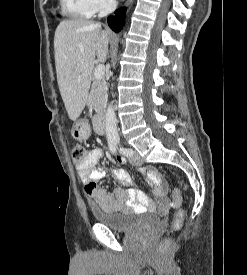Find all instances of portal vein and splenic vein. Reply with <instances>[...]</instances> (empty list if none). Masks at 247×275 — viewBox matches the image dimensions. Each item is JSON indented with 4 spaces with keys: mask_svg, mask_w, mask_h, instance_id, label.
Returning a JSON list of instances; mask_svg holds the SVG:
<instances>
[{
    "mask_svg": "<svg viewBox=\"0 0 247 275\" xmlns=\"http://www.w3.org/2000/svg\"><path fill=\"white\" fill-rule=\"evenodd\" d=\"M105 73V66L100 64L95 68L94 76L96 79H101Z\"/></svg>",
    "mask_w": 247,
    "mask_h": 275,
    "instance_id": "1",
    "label": "portal vein and splenic vein"
}]
</instances>
